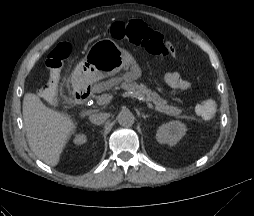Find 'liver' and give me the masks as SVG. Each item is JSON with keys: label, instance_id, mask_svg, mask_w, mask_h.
<instances>
[{"label": "liver", "instance_id": "1", "mask_svg": "<svg viewBox=\"0 0 254 216\" xmlns=\"http://www.w3.org/2000/svg\"><path fill=\"white\" fill-rule=\"evenodd\" d=\"M22 111L31 150L44 163L56 166L76 129L74 121L69 115L48 108L33 93L24 96Z\"/></svg>", "mask_w": 254, "mask_h": 216}]
</instances>
